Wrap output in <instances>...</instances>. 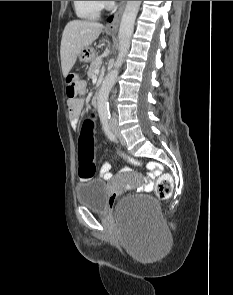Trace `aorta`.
<instances>
[{
  "label": "aorta",
  "mask_w": 233,
  "mask_h": 295,
  "mask_svg": "<svg viewBox=\"0 0 233 295\" xmlns=\"http://www.w3.org/2000/svg\"><path fill=\"white\" fill-rule=\"evenodd\" d=\"M141 1H127L125 10L122 15L118 38H119V53L117 60L115 62V68L111 70L105 80L103 81L101 90L98 96V112L100 115L108 116L109 112V102L108 96L109 92L115 83L118 76L119 69L121 68L124 58L128 53L130 48V41L134 30L135 19L140 7Z\"/></svg>",
  "instance_id": "1"
}]
</instances>
